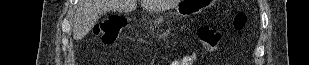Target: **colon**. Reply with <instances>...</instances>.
Returning a JSON list of instances; mask_svg holds the SVG:
<instances>
[{
  "mask_svg": "<svg viewBox=\"0 0 309 65\" xmlns=\"http://www.w3.org/2000/svg\"><path fill=\"white\" fill-rule=\"evenodd\" d=\"M246 23L247 15L245 13L239 12L235 15L233 26L236 30H242ZM127 24L125 16L110 15L99 22L96 34L104 44L111 45L117 41L119 34L127 27ZM197 38L202 48L211 52L217 48L221 40V30L212 25H201L197 29ZM178 61L181 64L193 65L195 63V56L188 55Z\"/></svg>",
  "mask_w": 309,
  "mask_h": 65,
  "instance_id": "1",
  "label": "colon"
}]
</instances>
